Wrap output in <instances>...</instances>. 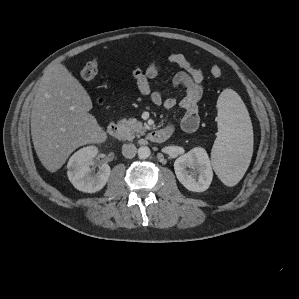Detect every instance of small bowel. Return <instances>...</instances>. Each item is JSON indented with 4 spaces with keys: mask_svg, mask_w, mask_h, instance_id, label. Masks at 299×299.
I'll list each match as a JSON object with an SVG mask.
<instances>
[{
    "mask_svg": "<svg viewBox=\"0 0 299 299\" xmlns=\"http://www.w3.org/2000/svg\"><path fill=\"white\" fill-rule=\"evenodd\" d=\"M169 64L177 66L181 70L173 77L175 87H183L185 95L180 101L175 98H163L160 92L151 89L150 81L155 79L161 70V65L157 61H151L145 69L134 66L132 76L139 92L144 96H149L155 105H163L165 109L171 110L178 106L183 110L181 125L186 132H195L200 123L198 114V102L204 92V74L202 70L194 66L183 54L174 53L168 56ZM165 128L173 130V125L168 123Z\"/></svg>",
    "mask_w": 299,
    "mask_h": 299,
    "instance_id": "small-bowel-1",
    "label": "small bowel"
}]
</instances>
